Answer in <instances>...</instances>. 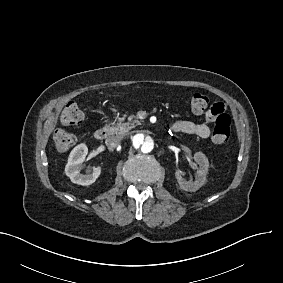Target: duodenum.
Returning a JSON list of instances; mask_svg holds the SVG:
<instances>
[{"instance_id":"obj_1","label":"duodenum","mask_w":283,"mask_h":283,"mask_svg":"<svg viewBox=\"0 0 283 283\" xmlns=\"http://www.w3.org/2000/svg\"><path fill=\"white\" fill-rule=\"evenodd\" d=\"M108 136H109V131H108V129L105 128V127L98 128V129L94 132V137H95V139L98 140V141H103V140H105Z\"/></svg>"}]
</instances>
